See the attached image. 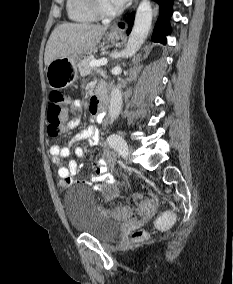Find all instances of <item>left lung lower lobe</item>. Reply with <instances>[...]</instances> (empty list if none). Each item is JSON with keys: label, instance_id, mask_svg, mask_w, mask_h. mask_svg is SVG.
Returning a JSON list of instances; mask_svg holds the SVG:
<instances>
[{"label": "left lung lower lobe", "instance_id": "1", "mask_svg": "<svg viewBox=\"0 0 233 284\" xmlns=\"http://www.w3.org/2000/svg\"><path fill=\"white\" fill-rule=\"evenodd\" d=\"M159 4L160 14L154 28L152 41L166 44V35L170 33L169 18L172 15L173 0H155ZM129 28L127 34L130 33L133 24V16L128 18Z\"/></svg>", "mask_w": 233, "mask_h": 284}]
</instances>
